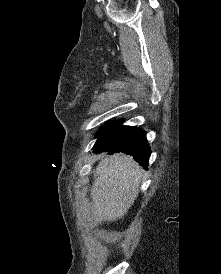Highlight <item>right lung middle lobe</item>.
I'll use <instances>...</instances> for the list:
<instances>
[{"label":"right lung middle lobe","mask_w":221,"mask_h":274,"mask_svg":"<svg viewBox=\"0 0 221 274\" xmlns=\"http://www.w3.org/2000/svg\"><path fill=\"white\" fill-rule=\"evenodd\" d=\"M113 123H114L113 121H112V122L106 123V124L102 127V129L98 132V135H100L101 133H103V132H104L108 127H110Z\"/></svg>","instance_id":"right-lung-middle-lobe-1"}]
</instances>
